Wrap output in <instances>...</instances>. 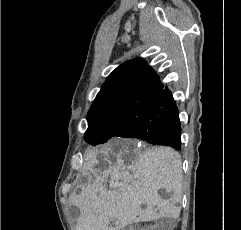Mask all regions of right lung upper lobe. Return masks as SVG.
Here are the masks:
<instances>
[{
  "instance_id": "right-lung-upper-lobe-1",
  "label": "right lung upper lobe",
  "mask_w": 241,
  "mask_h": 230,
  "mask_svg": "<svg viewBox=\"0 0 241 230\" xmlns=\"http://www.w3.org/2000/svg\"><path fill=\"white\" fill-rule=\"evenodd\" d=\"M162 86L159 76L145 60H129L107 78L88 112V122L111 111L140 109L149 104Z\"/></svg>"
}]
</instances>
